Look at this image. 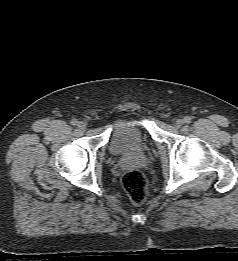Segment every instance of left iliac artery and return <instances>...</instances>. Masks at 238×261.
I'll return each mask as SVG.
<instances>
[{
  "mask_svg": "<svg viewBox=\"0 0 238 261\" xmlns=\"http://www.w3.org/2000/svg\"><path fill=\"white\" fill-rule=\"evenodd\" d=\"M191 121H192L191 117H189V116L184 117L185 123L189 124V123H191Z\"/></svg>",
  "mask_w": 238,
  "mask_h": 261,
  "instance_id": "left-iliac-artery-1",
  "label": "left iliac artery"
}]
</instances>
